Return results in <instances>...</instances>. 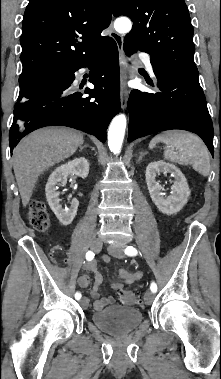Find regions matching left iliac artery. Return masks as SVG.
Segmentation results:
<instances>
[{"label": "left iliac artery", "instance_id": "obj_1", "mask_svg": "<svg viewBox=\"0 0 221 379\" xmlns=\"http://www.w3.org/2000/svg\"><path fill=\"white\" fill-rule=\"evenodd\" d=\"M125 254L129 255V256H136L138 254V251L136 248H134L133 246H128L126 249H125ZM150 290L153 292V293H156L157 292V285L155 282H152L151 285H150Z\"/></svg>", "mask_w": 221, "mask_h": 379}]
</instances>
